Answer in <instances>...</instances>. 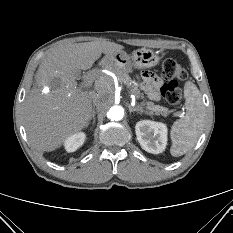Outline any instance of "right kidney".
Wrapping results in <instances>:
<instances>
[{
	"label": "right kidney",
	"instance_id": "1",
	"mask_svg": "<svg viewBox=\"0 0 233 233\" xmlns=\"http://www.w3.org/2000/svg\"><path fill=\"white\" fill-rule=\"evenodd\" d=\"M86 135L82 132L75 133L69 136L65 142L64 146L67 152H74L79 147H81L85 141Z\"/></svg>",
	"mask_w": 233,
	"mask_h": 233
}]
</instances>
